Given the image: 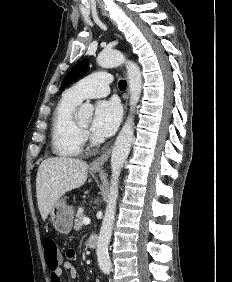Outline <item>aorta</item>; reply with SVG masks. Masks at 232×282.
<instances>
[{
  "label": "aorta",
  "mask_w": 232,
  "mask_h": 282,
  "mask_svg": "<svg viewBox=\"0 0 232 282\" xmlns=\"http://www.w3.org/2000/svg\"><path fill=\"white\" fill-rule=\"evenodd\" d=\"M97 63L103 68H112L126 64L130 89V111L132 112L139 101L142 90V75L139 66L127 60L124 54L118 50H103L97 57ZM92 111L93 108L90 104H84L80 109V114L89 116L92 114ZM133 136L134 122L133 117L129 115L116 138L112 150L110 189L96 249L99 267L104 273H110L111 271L108 246L116 214L119 176L130 152Z\"/></svg>",
  "instance_id": "obj_1"
}]
</instances>
